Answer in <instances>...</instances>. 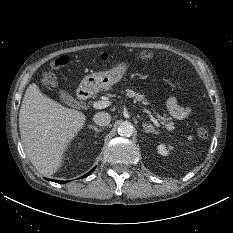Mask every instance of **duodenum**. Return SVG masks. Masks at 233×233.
<instances>
[{"label":"duodenum","instance_id":"410a0bca","mask_svg":"<svg viewBox=\"0 0 233 233\" xmlns=\"http://www.w3.org/2000/svg\"><path fill=\"white\" fill-rule=\"evenodd\" d=\"M87 98V93L86 92H82V95L80 96L81 100H85Z\"/></svg>","mask_w":233,"mask_h":233}]
</instances>
